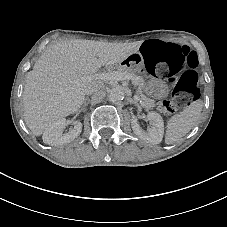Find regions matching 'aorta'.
<instances>
[{
  "mask_svg": "<svg viewBox=\"0 0 227 227\" xmlns=\"http://www.w3.org/2000/svg\"><path fill=\"white\" fill-rule=\"evenodd\" d=\"M125 97L124 89L120 86L112 88L108 93V99L111 102L122 101Z\"/></svg>",
  "mask_w": 227,
  "mask_h": 227,
  "instance_id": "aorta-1",
  "label": "aorta"
}]
</instances>
